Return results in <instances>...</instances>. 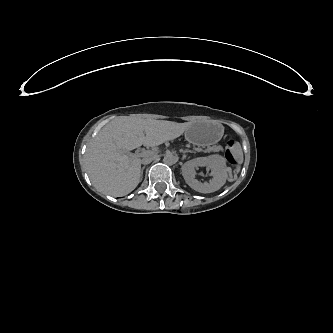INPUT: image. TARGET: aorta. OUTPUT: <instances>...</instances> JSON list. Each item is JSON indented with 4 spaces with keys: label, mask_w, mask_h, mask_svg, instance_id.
I'll list each match as a JSON object with an SVG mask.
<instances>
[{
    "label": "aorta",
    "mask_w": 333,
    "mask_h": 333,
    "mask_svg": "<svg viewBox=\"0 0 333 333\" xmlns=\"http://www.w3.org/2000/svg\"><path fill=\"white\" fill-rule=\"evenodd\" d=\"M163 162L171 166L177 162V158L172 153H167L163 158Z\"/></svg>",
    "instance_id": "obj_1"
}]
</instances>
